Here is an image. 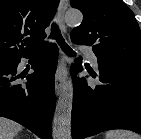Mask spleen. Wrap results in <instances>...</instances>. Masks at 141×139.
<instances>
[{"label": "spleen", "instance_id": "obj_1", "mask_svg": "<svg viewBox=\"0 0 141 139\" xmlns=\"http://www.w3.org/2000/svg\"><path fill=\"white\" fill-rule=\"evenodd\" d=\"M105 139H141V136L127 130H111L105 134Z\"/></svg>", "mask_w": 141, "mask_h": 139}]
</instances>
